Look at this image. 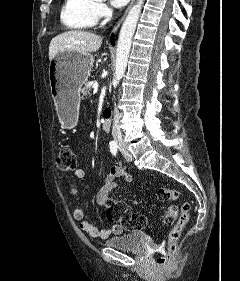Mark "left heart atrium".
Returning <instances> with one entry per match:
<instances>
[{
    "label": "left heart atrium",
    "mask_w": 240,
    "mask_h": 281,
    "mask_svg": "<svg viewBox=\"0 0 240 281\" xmlns=\"http://www.w3.org/2000/svg\"><path fill=\"white\" fill-rule=\"evenodd\" d=\"M110 2L114 7L121 8L125 6L129 0H110Z\"/></svg>",
    "instance_id": "obj_1"
}]
</instances>
